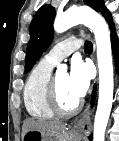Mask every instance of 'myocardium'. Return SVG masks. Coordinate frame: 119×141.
<instances>
[{
    "mask_svg": "<svg viewBox=\"0 0 119 141\" xmlns=\"http://www.w3.org/2000/svg\"><path fill=\"white\" fill-rule=\"evenodd\" d=\"M46 101L50 110L59 116H71L76 114L81 108V101H78L72 108H64L58 98L56 76H51L47 90H46Z\"/></svg>",
    "mask_w": 119,
    "mask_h": 141,
    "instance_id": "1",
    "label": "myocardium"
}]
</instances>
